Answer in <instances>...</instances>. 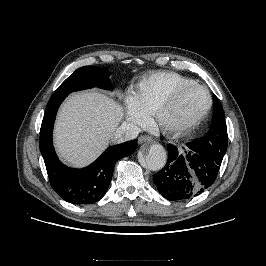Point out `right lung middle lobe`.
<instances>
[{"instance_id":"1","label":"right lung middle lobe","mask_w":266,"mask_h":266,"mask_svg":"<svg viewBox=\"0 0 266 266\" xmlns=\"http://www.w3.org/2000/svg\"><path fill=\"white\" fill-rule=\"evenodd\" d=\"M93 87L112 90L109 72L98 67L84 66L74 71L54 93L69 94Z\"/></svg>"}]
</instances>
